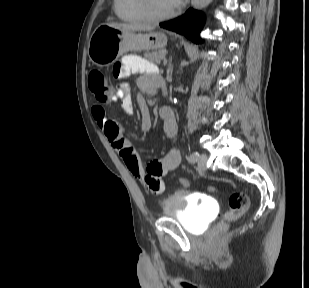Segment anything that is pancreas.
Returning <instances> with one entry per match:
<instances>
[{
	"mask_svg": "<svg viewBox=\"0 0 309 288\" xmlns=\"http://www.w3.org/2000/svg\"><path fill=\"white\" fill-rule=\"evenodd\" d=\"M165 55V51L164 50H158L152 53H146L144 55L145 59H147L148 61L155 63V64H160L161 60L163 59Z\"/></svg>",
	"mask_w": 309,
	"mask_h": 288,
	"instance_id": "cf45deb5",
	"label": "pancreas"
}]
</instances>
